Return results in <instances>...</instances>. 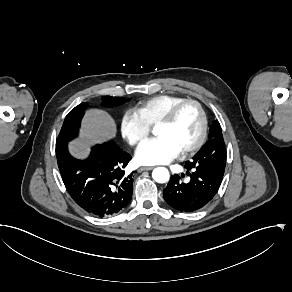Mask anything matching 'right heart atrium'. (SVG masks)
<instances>
[{
	"mask_svg": "<svg viewBox=\"0 0 292 292\" xmlns=\"http://www.w3.org/2000/svg\"><path fill=\"white\" fill-rule=\"evenodd\" d=\"M120 133L129 144L136 145L149 133V126L133 108L125 109L119 119Z\"/></svg>",
	"mask_w": 292,
	"mask_h": 292,
	"instance_id": "1",
	"label": "right heart atrium"
}]
</instances>
